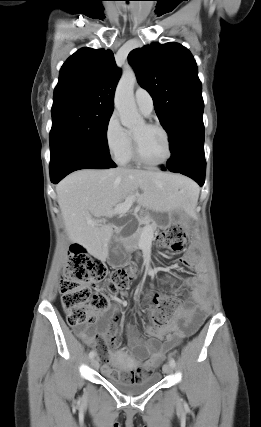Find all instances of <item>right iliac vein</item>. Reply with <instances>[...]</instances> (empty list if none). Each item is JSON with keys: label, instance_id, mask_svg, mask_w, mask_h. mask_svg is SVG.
I'll return each mask as SVG.
<instances>
[{"label": "right iliac vein", "instance_id": "63e3f726", "mask_svg": "<svg viewBox=\"0 0 261 427\" xmlns=\"http://www.w3.org/2000/svg\"><path fill=\"white\" fill-rule=\"evenodd\" d=\"M91 366H92L94 369H98V368H99V362H98V360H97L96 358H93V359L91 360Z\"/></svg>", "mask_w": 261, "mask_h": 427}]
</instances>
